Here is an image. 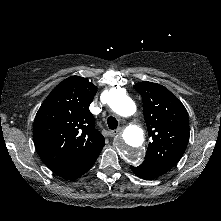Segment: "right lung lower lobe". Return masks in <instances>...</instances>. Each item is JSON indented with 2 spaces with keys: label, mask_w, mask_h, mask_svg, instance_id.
<instances>
[{
  "label": "right lung lower lobe",
  "mask_w": 221,
  "mask_h": 221,
  "mask_svg": "<svg viewBox=\"0 0 221 221\" xmlns=\"http://www.w3.org/2000/svg\"><path fill=\"white\" fill-rule=\"evenodd\" d=\"M101 150L89 156L87 159L80 162L79 164L61 169L59 171H56L55 173L64 179L75 180L86 173L94 165Z\"/></svg>",
  "instance_id": "obj_1"
}]
</instances>
